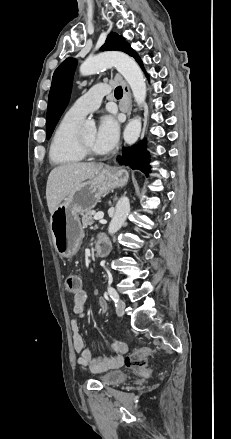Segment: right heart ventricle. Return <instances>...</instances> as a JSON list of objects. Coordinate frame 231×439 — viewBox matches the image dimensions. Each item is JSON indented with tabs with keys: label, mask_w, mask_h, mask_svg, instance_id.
<instances>
[{
	"label": "right heart ventricle",
	"mask_w": 231,
	"mask_h": 439,
	"mask_svg": "<svg viewBox=\"0 0 231 439\" xmlns=\"http://www.w3.org/2000/svg\"><path fill=\"white\" fill-rule=\"evenodd\" d=\"M80 122L65 115L57 125L49 146V158L54 165L72 166L85 159L76 142Z\"/></svg>",
	"instance_id": "1"
}]
</instances>
